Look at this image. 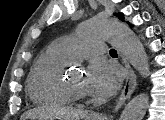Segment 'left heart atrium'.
Returning <instances> with one entry per match:
<instances>
[{
	"label": "left heart atrium",
	"mask_w": 165,
	"mask_h": 120,
	"mask_svg": "<svg viewBox=\"0 0 165 120\" xmlns=\"http://www.w3.org/2000/svg\"><path fill=\"white\" fill-rule=\"evenodd\" d=\"M119 70L105 61L95 60L87 73V90L98 97H108L115 93L120 84Z\"/></svg>",
	"instance_id": "obj_1"
}]
</instances>
